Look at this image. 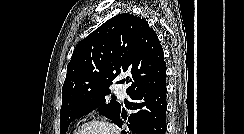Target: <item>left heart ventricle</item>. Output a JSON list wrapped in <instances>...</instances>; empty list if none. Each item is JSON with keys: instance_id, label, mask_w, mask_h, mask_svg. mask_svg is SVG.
I'll use <instances>...</instances> for the list:
<instances>
[{"instance_id": "left-heart-ventricle-1", "label": "left heart ventricle", "mask_w": 244, "mask_h": 134, "mask_svg": "<svg viewBox=\"0 0 244 134\" xmlns=\"http://www.w3.org/2000/svg\"><path fill=\"white\" fill-rule=\"evenodd\" d=\"M79 134H110V133L102 127L90 126L83 129Z\"/></svg>"}]
</instances>
